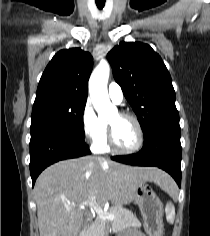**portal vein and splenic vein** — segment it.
Wrapping results in <instances>:
<instances>
[{
	"label": "portal vein and splenic vein",
	"instance_id": "obj_1",
	"mask_svg": "<svg viewBox=\"0 0 210 236\" xmlns=\"http://www.w3.org/2000/svg\"><path fill=\"white\" fill-rule=\"evenodd\" d=\"M85 205H89L91 207H93V209L99 214V215H103L106 219H114L115 216L113 214H108L107 212H105L102 207H100L98 204L92 203V202H85L82 205H80L79 207H84Z\"/></svg>",
	"mask_w": 210,
	"mask_h": 236
}]
</instances>
